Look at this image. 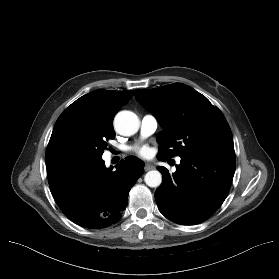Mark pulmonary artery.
Segmentation results:
<instances>
[{
	"label": "pulmonary artery",
	"mask_w": 279,
	"mask_h": 279,
	"mask_svg": "<svg viewBox=\"0 0 279 279\" xmlns=\"http://www.w3.org/2000/svg\"><path fill=\"white\" fill-rule=\"evenodd\" d=\"M158 127V121L155 116L148 114L142 117L141 119V134L142 136H149L153 134ZM180 161V159H178Z\"/></svg>",
	"instance_id": "e3ab8cb5"
}]
</instances>
